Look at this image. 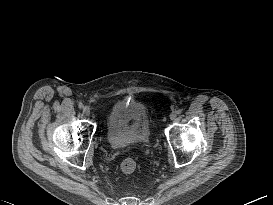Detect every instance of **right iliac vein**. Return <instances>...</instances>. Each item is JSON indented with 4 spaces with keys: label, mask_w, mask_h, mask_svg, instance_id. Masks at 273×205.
<instances>
[{
    "label": "right iliac vein",
    "mask_w": 273,
    "mask_h": 205,
    "mask_svg": "<svg viewBox=\"0 0 273 205\" xmlns=\"http://www.w3.org/2000/svg\"><path fill=\"white\" fill-rule=\"evenodd\" d=\"M83 113H84V115L89 116L90 115V108L88 106H85L83 108Z\"/></svg>",
    "instance_id": "63e3f726"
}]
</instances>
